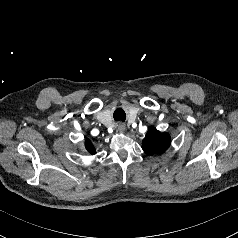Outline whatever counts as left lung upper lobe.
Here are the masks:
<instances>
[{"mask_svg":"<svg viewBox=\"0 0 238 238\" xmlns=\"http://www.w3.org/2000/svg\"><path fill=\"white\" fill-rule=\"evenodd\" d=\"M171 144L169 134L161 133L156 128H150L143 139L142 149L148 155L162 154Z\"/></svg>","mask_w":238,"mask_h":238,"instance_id":"left-lung-upper-lobe-1","label":"left lung upper lobe"}]
</instances>
